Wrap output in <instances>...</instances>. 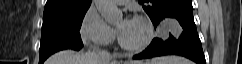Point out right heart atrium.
<instances>
[{
    "mask_svg": "<svg viewBox=\"0 0 242 64\" xmlns=\"http://www.w3.org/2000/svg\"><path fill=\"white\" fill-rule=\"evenodd\" d=\"M82 41L92 46H107L115 39L114 30L91 6L85 12L79 27Z\"/></svg>",
    "mask_w": 242,
    "mask_h": 64,
    "instance_id": "right-heart-atrium-1",
    "label": "right heart atrium"
}]
</instances>
